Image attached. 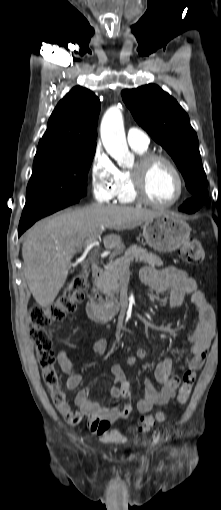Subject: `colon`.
I'll list each match as a JSON object with an SVG mask.
<instances>
[{
    "mask_svg": "<svg viewBox=\"0 0 221 510\" xmlns=\"http://www.w3.org/2000/svg\"><path fill=\"white\" fill-rule=\"evenodd\" d=\"M179 255L183 261L193 264H199L205 258L204 249L196 238L188 239L181 247ZM87 287L88 273L80 272L66 283L61 294L53 303L46 306H33L29 309L31 323L29 335L36 345V355L43 381L51 389V399L57 408H60L66 399L59 387V376L54 366L53 341L45 328L52 323L62 322L68 314L72 313L77 304L83 300ZM194 383L195 373L190 370L185 372L176 397L177 405L187 402ZM127 395L128 392L124 391L123 396ZM128 415V409H123V417L126 418ZM164 417L163 412L143 416L138 425V431L143 433L150 431L157 423L162 422Z\"/></svg>",
    "mask_w": 221,
    "mask_h": 510,
    "instance_id": "1",
    "label": "colon"
}]
</instances>
